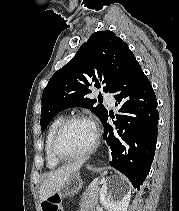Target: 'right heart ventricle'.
Returning a JSON list of instances; mask_svg holds the SVG:
<instances>
[{"label":"right heart ventricle","mask_w":179,"mask_h":211,"mask_svg":"<svg viewBox=\"0 0 179 211\" xmlns=\"http://www.w3.org/2000/svg\"><path fill=\"white\" fill-rule=\"evenodd\" d=\"M64 120L63 117H58L56 118L49 126L47 134H46V138H45V147H44V151H45V161H46V165L48 168L50 169H54L56 167H58L60 165V161H58L52 154L51 151V144H52V139L54 136V133L56 131V129L58 128V126L60 125V123Z\"/></svg>","instance_id":"right-heart-ventricle-1"}]
</instances>
